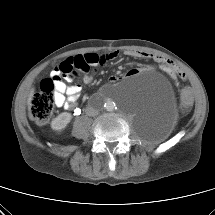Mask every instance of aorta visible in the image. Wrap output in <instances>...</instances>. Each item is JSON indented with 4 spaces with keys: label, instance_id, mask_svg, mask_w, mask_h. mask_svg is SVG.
<instances>
[{
    "label": "aorta",
    "instance_id": "aorta-1",
    "mask_svg": "<svg viewBox=\"0 0 215 215\" xmlns=\"http://www.w3.org/2000/svg\"><path fill=\"white\" fill-rule=\"evenodd\" d=\"M122 91H123V85H117L111 89V92L108 95V98L106 99L103 105V108L106 111L111 112L115 110L117 106V101H120L123 99Z\"/></svg>",
    "mask_w": 215,
    "mask_h": 215
}]
</instances>
